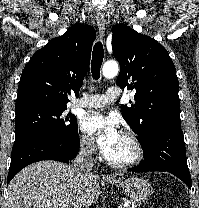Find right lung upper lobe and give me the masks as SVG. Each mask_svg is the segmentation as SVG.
<instances>
[{
  "instance_id": "obj_1",
  "label": "right lung upper lobe",
  "mask_w": 199,
  "mask_h": 208,
  "mask_svg": "<svg viewBox=\"0 0 199 208\" xmlns=\"http://www.w3.org/2000/svg\"><path fill=\"white\" fill-rule=\"evenodd\" d=\"M95 38L93 27L76 23L35 52L22 72L15 110L66 108L67 95L79 94Z\"/></svg>"
}]
</instances>
